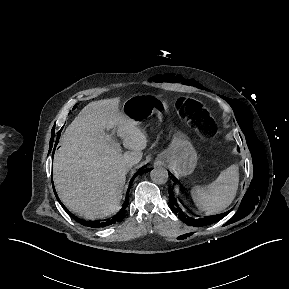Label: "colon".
<instances>
[{"instance_id":"obj_1","label":"colon","mask_w":289,"mask_h":289,"mask_svg":"<svg viewBox=\"0 0 289 289\" xmlns=\"http://www.w3.org/2000/svg\"><path fill=\"white\" fill-rule=\"evenodd\" d=\"M177 106L185 115L186 119L199 127L200 131L206 136L215 135L209 115L203 104L188 98H179Z\"/></svg>"}]
</instances>
